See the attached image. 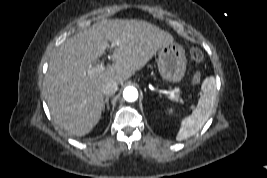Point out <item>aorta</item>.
<instances>
[{"label":"aorta","instance_id":"762f6f07","mask_svg":"<svg viewBox=\"0 0 267 178\" xmlns=\"http://www.w3.org/2000/svg\"><path fill=\"white\" fill-rule=\"evenodd\" d=\"M123 97L128 102H134L138 98V91L135 87L128 86L123 91Z\"/></svg>","mask_w":267,"mask_h":178}]
</instances>
